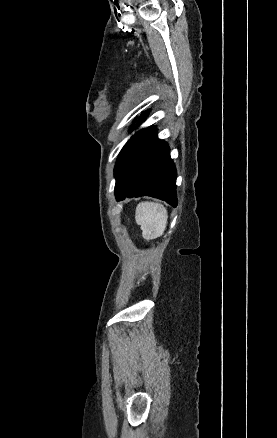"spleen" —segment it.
I'll return each mask as SVG.
<instances>
[{
    "label": "spleen",
    "instance_id": "spleen-1",
    "mask_svg": "<svg viewBox=\"0 0 277 438\" xmlns=\"http://www.w3.org/2000/svg\"><path fill=\"white\" fill-rule=\"evenodd\" d=\"M167 218V210L162 204L141 202L136 208L135 220L141 226L144 240H155L163 236Z\"/></svg>",
    "mask_w": 277,
    "mask_h": 438
}]
</instances>
